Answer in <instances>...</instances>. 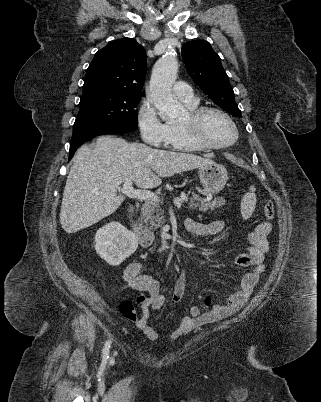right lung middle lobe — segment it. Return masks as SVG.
<instances>
[{
	"label": "right lung middle lobe",
	"mask_w": 321,
	"mask_h": 402,
	"mask_svg": "<svg viewBox=\"0 0 321 402\" xmlns=\"http://www.w3.org/2000/svg\"><path fill=\"white\" fill-rule=\"evenodd\" d=\"M141 96L105 89H83L74 127L99 124H126L137 128V104Z\"/></svg>",
	"instance_id": "1"
}]
</instances>
